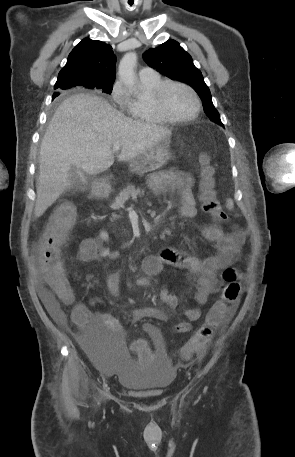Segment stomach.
Instances as JSON below:
<instances>
[{
    "label": "stomach",
    "instance_id": "1",
    "mask_svg": "<svg viewBox=\"0 0 295 457\" xmlns=\"http://www.w3.org/2000/svg\"><path fill=\"white\" fill-rule=\"evenodd\" d=\"M172 157L170 139L161 141L148 151L133 158L130 162L131 172L138 175L145 174L163 166ZM93 189L98 193H108L110 183L101 181L93 184Z\"/></svg>",
    "mask_w": 295,
    "mask_h": 457
}]
</instances>
